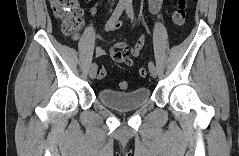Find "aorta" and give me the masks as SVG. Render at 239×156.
I'll return each instance as SVG.
<instances>
[{
	"instance_id": "aorta-1",
	"label": "aorta",
	"mask_w": 239,
	"mask_h": 156,
	"mask_svg": "<svg viewBox=\"0 0 239 156\" xmlns=\"http://www.w3.org/2000/svg\"><path fill=\"white\" fill-rule=\"evenodd\" d=\"M121 2L125 5H131L132 4V0H121Z\"/></svg>"
}]
</instances>
